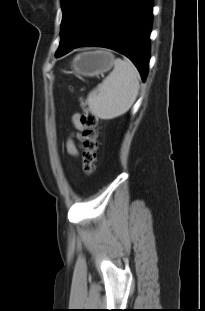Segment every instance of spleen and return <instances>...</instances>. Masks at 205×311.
I'll use <instances>...</instances> for the list:
<instances>
[{
	"label": "spleen",
	"mask_w": 205,
	"mask_h": 311,
	"mask_svg": "<svg viewBox=\"0 0 205 311\" xmlns=\"http://www.w3.org/2000/svg\"><path fill=\"white\" fill-rule=\"evenodd\" d=\"M139 79V72L130 60L115 59L113 71L89 93V108L105 120L125 114L137 98Z\"/></svg>",
	"instance_id": "spleen-1"
}]
</instances>
